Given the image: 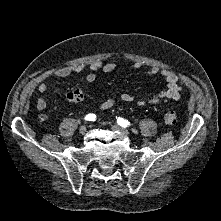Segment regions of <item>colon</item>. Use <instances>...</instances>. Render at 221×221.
Wrapping results in <instances>:
<instances>
[{
	"label": "colon",
	"instance_id": "obj_1",
	"mask_svg": "<svg viewBox=\"0 0 221 221\" xmlns=\"http://www.w3.org/2000/svg\"><path fill=\"white\" fill-rule=\"evenodd\" d=\"M84 97V92L80 89H77L73 92L70 97V100L73 102H78ZM164 122L167 125H174L177 122V116L174 111L169 110L164 115Z\"/></svg>",
	"mask_w": 221,
	"mask_h": 221
}]
</instances>
